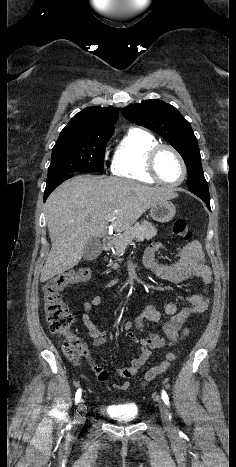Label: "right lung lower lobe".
<instances>
[{"label": "right lung lower lobe", "mask_w": 236, "mask_h": 467, "mask_svg": "<svg viewBox=\"0 0 236 467\" xmlns=\"http://www.w3.org/2000/svg\"><path fill=\"white\" fill-rule=\"evenodd\" d=\"M73 173H69V174H65V175H62L58 178H55L51 181H47V184H46V189H45V192H44V202L46 201L47 197L50 195V193L58 186L60 185L62 182H64L65 180L73 177Z\"/></svg>", "instance_id": "obj_1"}]
</instances>
